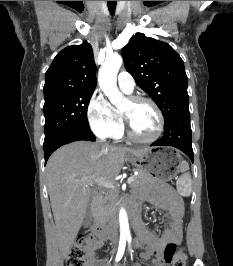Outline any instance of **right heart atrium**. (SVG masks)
Here are the masks:
<instances>
[{"instance_id":"obj_1","label":"right heart atrium","mask_w":233,"mask_h":266,"mask_svg":"<svg viewBox=\"0 0 233 266\" xmlns=\"http://www.w3.org/2000/svg\"><path fill=\"white\" fill-rule=\"evenodd\" d=\"M87 120L93 133L100 138H115L123 130L122 117L98 90L88 102Z\"/></svg>"}]
</instances>
